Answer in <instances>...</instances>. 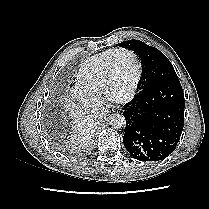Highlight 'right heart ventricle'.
<instances>
[{
  "label": "right heart ventricle",
  "instance_id": "obj_1",
  "mask_svg": "<svg viewBox=\"0 0 209 209\" xmlns=\"http://www.w3.org/2000/svg\"><path fill=\"white\" fill-rule=\"evenodd\" d=\"M115 49H109L86 60L76 75L77 86L96 96L103 95L102 83L106 65Z\"/></svg>",
  "mask_w": 209,
  "mask_h": 209
}]
</instances>
